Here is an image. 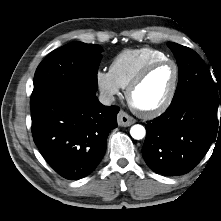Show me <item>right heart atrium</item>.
Wrapping results in <instances>:
<instances>
[{
	"instance_id": "1",
	"label": "right heart atrium",
	"mask_w": 221,
	"mask_h": 221,
	"mask_svg": "<svg viewBox=\"0 0 221 221\" xmlns=\"http://www.w3.org/2000/svg\"><path fill=\"white\" fill-rule=\"evenodd\" d=\"M95 80L99 91L107 100H112L120 93V86L109 71L98 70L95 75Z\"/></svg>"
}]
</instances>
